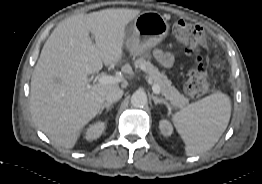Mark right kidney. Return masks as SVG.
I'll return each mask as SVG.
<instances>
[{"mask_svg":"<svg viewBox=\"0 0 262 184\" xmlns=\"http://www.w3.org/2000/svg\"><path fill=\"white\" fill-rule=\"evenodd\" d=\"M105 127V122L101 121L89 125V127L85 131V139L88 141H92L99 138L103 133Z\"/></svg>","mask_w":262,"mask_h":184,"instance_id":"right-kidney-1","label":"right kidney"}]
</instances>
